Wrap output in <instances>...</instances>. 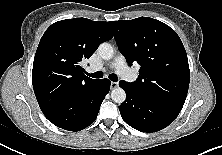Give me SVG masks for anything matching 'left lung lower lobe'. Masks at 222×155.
I'll list each match as a JSON object with an SVG mask.
<instances>
[{"label": "left lung lower lobe", "mask_w": 222, "mask_h": 155, "mask_svg": "<svg viewBox=\"0 0 222 155\" xmlns=\"http://www.w3.org/2000/svg\"><path fill=\"white\" fill-rule=\"evenodd\" d=\"M119 86L126 92V100L119 106L123 120L142 132H156L167 127L178 116L182 108L146 97L125 81Z\"/></svg>", "instance_id": "left-lung-lower-lobe-1"}]
</instances>
